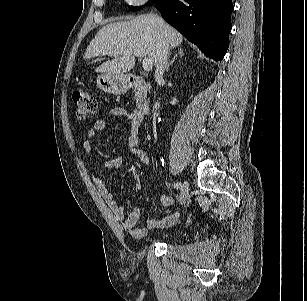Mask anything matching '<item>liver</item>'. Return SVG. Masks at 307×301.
Instances as JSON below:
<instances>
[{"label":"liver","mask_w":307,"mask_h":301,"mask_svg":"<svg viewBox=\"0 0 307 301\" xmlns=\"http://www.w3.org/2000/svg\"><path fill=\"white\" fill-rule=\"evenodd\" d=\"M182 35L156 14H142L130 21L109 23L95 35L86 49V59L98 56H114L95 68L98 73L124 74L135 65V51H142L158 64L164 43L179 46ZM117 53L115 56L114 54Z\"/></svg>","instance_id":"6515ba94"}]
</instances>
